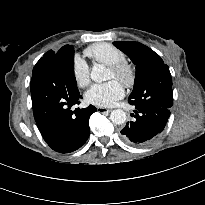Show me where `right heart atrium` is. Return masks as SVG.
<instances>
[{
	"mask_svg": "<svg viewBox=\"0 0 205 205\" xmlns=\"http://www.w3.org/2000/svg\"><path fill=\"white\" fill-rule=\"evenodd\" d=\"M72 77L76 85L84 88L90 83V67L80 55L75 54L71 66Z\"/></svg>",
	"mask_w": 205,
	"mask_h": 205,
	"instance_id": "d8ad5b80",
	"label": "right heart atrium"
}]
</instances>
